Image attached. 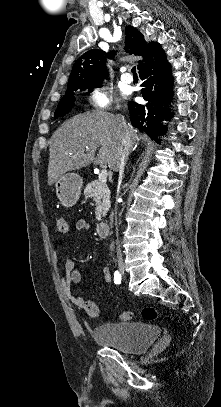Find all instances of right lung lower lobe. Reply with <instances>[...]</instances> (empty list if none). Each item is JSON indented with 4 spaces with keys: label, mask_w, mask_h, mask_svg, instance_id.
<instances>
[{
    "label": "right lung lower lobe",
    "mask_w": 221,
    "mask_h": 407,
    "mask_svg": "<svg viewBox=\"0 0 221 407\" xmlns=\"http://www.w3.org/2000/svg\"><path fill=\"white\" fill-rule=\"evenodd\" d=\"M139 75L141 80H144L141 92L147 103L129 102L131 123L151 138H156L167 131L161 121L172 117L167 106L173 97V77L171 66L162 49L142 65Z\"/></svg>",
    "instance_id": "1"
}]
</instances>
